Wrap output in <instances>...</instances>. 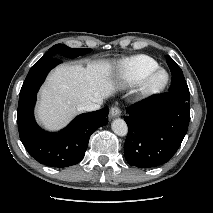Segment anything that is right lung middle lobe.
I'll use <instances>...</instances> for the list:
<instances>
[{
	"mask_svg": "<svg viewBox=\"0 0 213 213\" xmlns=\"http://www.w3.org/2000/svg\"><path fill=\"white\" fill-rule=\"evenodd\" d=\"M91 49L89 48H79V49H74V48H70L66 45L63 44H56L54 46H52L48 52L39 60H46L52 57H57V55L61 54L65 57H77V56H82L84 54H87L88 52H90Z\"/></svg>",
	"mask_w": 213,
	"mask_h": 213,
	"instance_id": "dd1d6c3e",
	"label": "right lung middle lobe"
}]
</instances>
